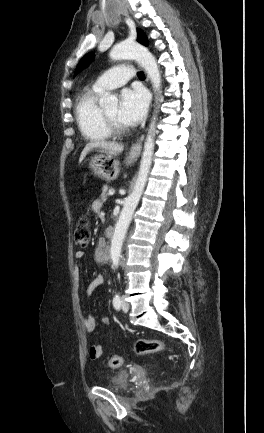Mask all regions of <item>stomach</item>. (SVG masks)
Instances as JSON below:
<instances>
[{
	"mask_svg": "<svg viewBox=\"0 0 264 433\" xmlns=\"http://www.w3.org/2000/svg\"><path fill=\"white\" fill-rule=\"evenodd\" d=\"M133 160H128L127 165ZM89 168L94 175L105 181L115 180L120 172L119 161L111 154H98L89 160Z\"/></svg>",
	"mask_w": 264,
	"mask_h": 433,
	"instance_id": "1",
	"label": "stomach"
}]
</instances>
